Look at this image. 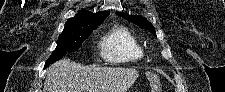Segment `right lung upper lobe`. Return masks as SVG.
Segmentation results:
<instances>
[{"label":"right lung upper lobe","instance_id":"1","mask_svg":"<svg viewBox=\"0 0 225 92\" xmlns=\"http://www.w3.org/2000/svg\"><path fill=\"white\" fill-rule=\"evenodd\" d=\"M108 15L109 12L107 11L92 13L87 10H81L73 18L68 19V21L65 23L64 30L75 29L84 25L98 22L105 19Z\"/></svg>","mask_w":225,"mask_h":92}]
</instances>
